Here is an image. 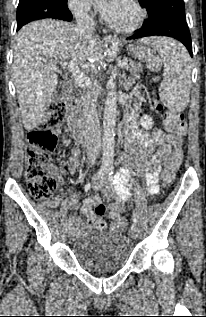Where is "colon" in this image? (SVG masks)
<instances>
[{
  "mask_svg": "<svg viewBox=\"0 0 206 317\" xmlns=\"http://www.w3.org/2000/svg\"><path fill=\"white\" fill-rule=\"evenodd\" d=\"M158 60L152 59L150 66H158ZM68 115V105L60 103L49 109L48 118L38 128L27 135L28 147L26 152L25 174L28 182V190L32 197L37 200H50L58 187L57 181L52 174L50 154L58 148V139L61 134V125ZM164 123L168 130L183 135L187 130V122L184 114L176 111L164 112ZM182 159V151L176 148L166 160L163 171L165 182L172 180L175 171L178 169ZM62 171L69 172L71 165L63 163ZM94 212L98 217L106 215V208L99 203L95 206ZM113 229L124 231L127 228L125 222L116 220L112 224Z\"/></svg>",
  "mask_w": 206,
  "mask_h": 317,
  "instance_id": "5ec220e1",
  "label": "colon"
}]
</instances>
